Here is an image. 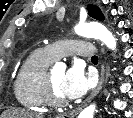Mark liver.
Returning <instances> with one entry per match:
<instances>
[{
  "label": "liver",
  "instance_id": "liver-1",
  "mask_svg": "<svg viewBox=\"0 0 133 118\" xmlns=\"http://www.w3.org/2000/svg\"><path fill=\"white\" fill-rule=\"evenodd\" d=\"M1 118H43V114L25 109H12L4 112Z\"/></svg>",
  "mask_w": 133,
  "mask_h": 118
}]
</instances>
